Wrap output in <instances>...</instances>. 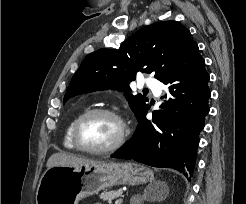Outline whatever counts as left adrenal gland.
Returning <instances> with one entry per match:
<instances>
[{"mask_svg": "<svg viewBox=\"0 0 246 204\" xmlns=\"http://www.w3.org/2000/svg\"><path fill=\"white\" fill-rule=\"evenodd\" d=\"M138 199V200H137ZM137 199L136 196H133L130 200V204H136V203H140L141 201H143L144 199H146V191L145 193L141 196V195H137Z\"/></svg>", "mask_w": 246, "mask_h": 204, "instance_id": "1", "label": "left adrenal gland"}]
</instances>
